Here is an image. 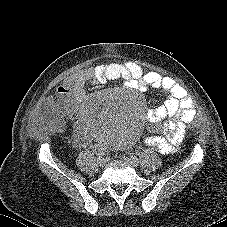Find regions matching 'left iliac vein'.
Returning a JSON list of instances; mask_svg holds the SVG:
<instances>
[{
	"label": "left iliac vein",
	"mask_w": 227,
	"mask_h": 227,
	"mask_svg": "<svg viewBox=\"0 0 227 227\" xmlns=\"http://www.w3.org/2000/svg\"><path fill=\"white\" fill-rule=\"evenodd\" d=\"M124 160H126L132 166H138L140 163L139 159L134 155H128L127 157H124Z\"/></svg>",
	"instance_id": "4c4485c4"
}]
</instances>
